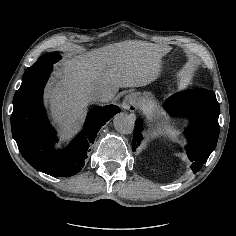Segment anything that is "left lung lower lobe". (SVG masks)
I'll use <instances>...</instances> for the list:
<instances>
[{
	"instance_id": "obj_1",
	"label": "left lung lower lobe",
	"mask_w": 236,
	"mask_h": 236,
	"mask_svg": "<svg viewBox=\"0 0 236 236\" xmlns=\"http://www.w3.org/2000/svg\"><path fill=\"white\" fill-rule=\"evenodd\" d=\"M172 115L182 114L192 120L187 131V155L193 162L194 173L199 171L215 149L219 137V103L215 94L207 89H191L172 95L164 103ZM143 124L137 119L133 133V151L142 140Z\"/></svg>"
}]
</instances>
